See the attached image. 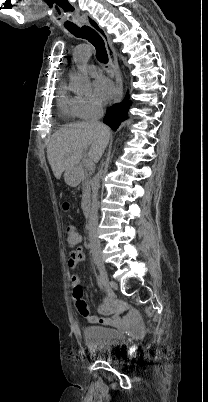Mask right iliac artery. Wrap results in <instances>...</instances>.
<instances>
[{"instance_id":"obj_1","label":"right iliac artery","mask_w":208,"mask_h":402,"mask_svg":"<svg viewBox=\"0 0 208 402\" xmlns=\"http://www.w3.org/2000/svg\"><path fill=\"white\" fill-rule=\"evenodd\" d=\"M97 283H98L100 288H104L105 285H104L100 275L97 276Z\"/></svg>"}]
</instances>
